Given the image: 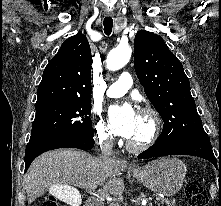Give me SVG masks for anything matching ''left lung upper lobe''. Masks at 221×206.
<instances>
[{
    "label": "left lung upper lobe",
    "mask_w": 221,
    "mask_h": 206,
    "mask_svg": "<svg viewBox=\"0 0 221 206\" xmlns=\"http://www.w3.org/2000/svg\"><path fill=\"white\" fill-rule=\"evenodd\" d=\"M134 47L136 74L164 121L156 142L209 140L190 93L189 79L163 39L151 32L139 31Z\"/></svg>",
    "instance_id": "1"
}]
</instances>
